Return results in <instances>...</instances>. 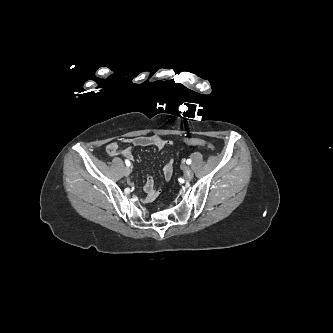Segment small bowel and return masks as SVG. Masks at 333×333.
<instances>
[{"instance_id": "small-bowel-1", "label": "small bowel", "mask_w": 333, "mask_h": 333, "mask_svg": "<svg viewBox=\"0 0 333 333\" xmlns=\"http://www.w3.org/2000/svg\"><path fill=\"white\" fill-rule=\"evenodd\" d=\"M129 142L132 143L133 147H156L157 149H164L168 146H171L172 143L167 139L159 135H150V136H139L134 139H130ZM133 147L120 149L117 142H112L107 146V153L110 156L122 155L127 158H132ZM174 161L170 159L163 168V176L165 180H170L173 174ZM145 196L143 202L149 203L156 199L160 193V189L155 187L154 180L152 177H148L144 185Z\"/></svg>"}]
</instances>
